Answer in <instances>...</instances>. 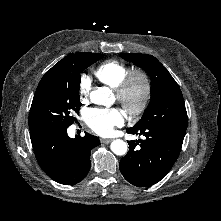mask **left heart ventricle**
Wrapping results in <instances>:
<instances>
[{
  "instance_id": "obj_1",
  "label": "left heart ventricle",
  "mask_w": 221,
  "mask_h": 221,
  "mask_svg": "<svg viewBox=\"0 0 221 221\" xmlns=\"http://www.w3.org/2000/svg\"><path fill=\"white\" fill-rule=\"evenodd\" d=\"M141 88L139 85H136L134 92H133V99L137 100L140 96Z\"/></svg>"
}]
</instances>
